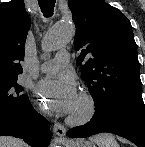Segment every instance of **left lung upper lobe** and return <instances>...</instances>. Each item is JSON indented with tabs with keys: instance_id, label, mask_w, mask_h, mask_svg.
Wrapping results in <instances>:
<instances>
[{
	"instance_id": "obj_1",
	"label": "left lung upper lobe",
	"mask_w": 145,
	"mask_h": 147,
	"mask_svg": "<svg viewBox=\"0 0 145 147\" xmlns=\"http://www.w3.org/2000/svg\"><path fill=\"white\" fill-rule=\"evenodd\" d=\"M76 26L77 64L103 119L114 109L142 99L137 45L131 23L103 0H69Z\"/></svg>"
}]
</instances>
